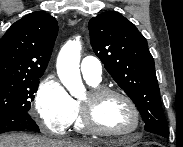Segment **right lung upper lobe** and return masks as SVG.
I'll return each instance as SVG.
<instances>
[{
  "label": "right lung upper lobe",
  "mask_w": 183,
  "mask_h": 147,
  "mask_svg": "<svg viewBox=\"0 0 183 147\" xmlns=\"http://www.w3.org/2000/svg\"><path fill=\"white\" fill-rule=\"evenodd\" d=\"M57 33V21L45 12L15 22L0 40V82L41 77Z\"/></svg>",
  "instance_id": "right-lung-upper-lobe-1"
}]
</instances>
